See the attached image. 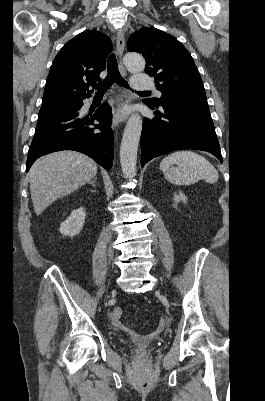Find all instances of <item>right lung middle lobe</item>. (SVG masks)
Masks as SVG:
<instances>
[{"mask_svg":"<svg viewBox=\"0 0 265 401\" xmlns=\"http://www.w3.org/2000/svg\"><path fill=\"white\" fill-rule=\"evenodd\" d=\"M82 104L83 103L81 100H70V101H63V102L42 105L39 111V116L54 112H66V113L77 112Z\"/></svg>","mask_w":265,"mask_h":401,"instance_id":"1","label":"right lung middle lobe"}]
</instances>
